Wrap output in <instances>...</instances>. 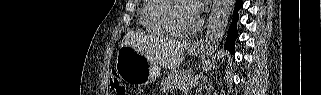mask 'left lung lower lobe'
Here are the masks:
<instances>
[{
  "mask_svg": "<svg viewBox=\"0 0 321 95\" xmlns=\"http://www.w3.org/2000/svg\"><path fill=\"white\" fill-rule=\"evenodd\" d=\"M242 6H243V1L242 0H236L233 21H232L231 26L229 28L228 37H227L226 43L224 45V47L226 49H228L232 54L235 53L234 43H235V40H236V38L238 36L237 30H236V22L238 20V10Z\"/></svg>",
  "mask_w": 321,
  "mask_h": 95,
  "instance_id": "1",
  "label": "left lung lower lobe"
}]
</instances>
